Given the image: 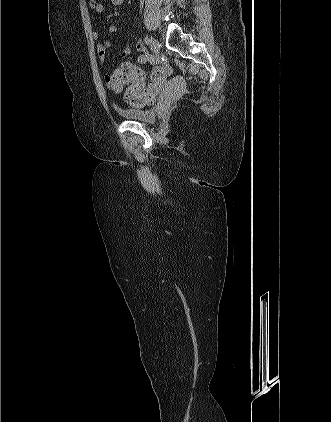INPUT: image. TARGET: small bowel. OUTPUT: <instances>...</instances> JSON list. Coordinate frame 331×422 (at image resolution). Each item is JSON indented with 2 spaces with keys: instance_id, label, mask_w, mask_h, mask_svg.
I'll list each match as a JSON object with an SVG mask.
<instances>
[{
  "instance_id": "small-bowel-1",
  "label": "small bowel",
  "mask_w": 331,
  "mask_h": 422,
  "mask_svg": "<svg viewBox=\"0 0 331 422\" xmlns=\"http://www.w3.org/2000/svg\"><path fill=\"white\" fill-rule=\"evenodd\" d=\"M108 2L114 6H120L123 4L124 0H108ZM89 7L90 11L93 15L99 14L103 11L104 6L101 0H90L89 1ZM118 30V27L113 25L110 26L107 30L108 35L113 34ZM91 36L94 40L100 39V34L98 31H92ZM111 46V41L109 39H106L104 42L98 43L96 45V51L98 54L99 61L101 63H104L106 61V54L107 50ZM138 51H141L142 53L137 57V63L138 64H144L149 60V53L145 51V44L143 41H139L136 46ZM131 53V48L129 46V42L127 41V47L120 53L121 57H127ZM106 85L109 89L112 90V83L110 80V76H106ZM133 86L138 90V92L150 99V103H152L156 97L164 90L165 83L163 78H157L154 76V73H152V79L151 81L146 84L145 76L135 82ZM128 102L135 106H143V104L132 102L128 100Z\"/></svg>"
}]
</instances>
